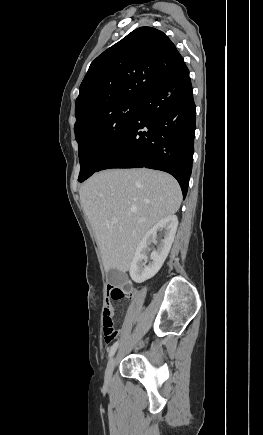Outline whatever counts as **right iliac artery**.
<instances>
[{"mask_svg": "<svg viewBox=\"0 0 263 435\" xmlns=\"http://www.w3.org/2000/svg\"><path fill=\"white\" fill-rule=\"evenodd\" d=\"M118 341L117 342H115L112 346H111V348H110V351H109V357H112L113 356V354L115 353V351H116V349H117V347H118Z\"/></svg>", "mask_w": 263, "mask_h": 435, "instance_id": "right-iliac-artery-1", "label": "right iliac artery"}]
</instances>
